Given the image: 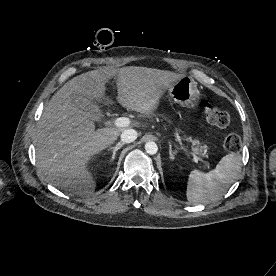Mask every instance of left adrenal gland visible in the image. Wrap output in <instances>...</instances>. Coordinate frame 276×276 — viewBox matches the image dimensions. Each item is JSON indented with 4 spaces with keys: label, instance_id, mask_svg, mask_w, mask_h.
<instances>
[{
    "label": "left adrenal gland",
    "instance_id": "1",
    "mask_svg": "<svg viewBox=\"0 0 276 276\" xmlns=\"http://www.w3.org/2000/svg\"><path fill=\"white\" fill-rule=\"evenodd\" d=\"M177 151H172V145L169 143V155H170V159H174V155L176 154Z\"/></svg>",
    "mask_w": 276,
    "mask_h": 276
}]
</instances>
